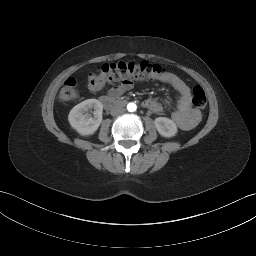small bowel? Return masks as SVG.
<instances>
[{"mask_svg":"<svg viewBox=\"0 0 256 256\" xmlns=\"http://www.w3.org/2000/svg\"><path fill=\"white\" fill-rule=\"evenodd\" d=\"M161 81L167 83L179 93L177 110L171 115L172 120L182 130L193 129L201 120V113L192 107L191 92L189 86L177 75L165 73L160 77ZM134 83L130 79H123L118 85L110 88L107 95L118 98L130 91ZM143 106L155 113L162 111L161 104L155 99H146Z\"/></svg>","mask_w":256,"mask_h":256,"instance_id":"c3829d8e","label":"small bowel"}]
</instances>
